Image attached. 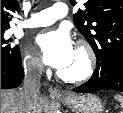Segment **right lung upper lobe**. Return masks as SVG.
<instances>
[{"instance_id": "1", "label": "right lung upper lobe", "mask_w": 123, "mask_h": 113, "mask_svg": "<svg viewBox=\"0 0 123 113\" xmlns=\"http://www.w3.org/2000/svg\"><path fill=\"white\" fill-rule=\"evenodd\" d=\"M17 0H1V29L10 28L9 21L11 13L19 9Z\"/></svg>"}]
</instances>
